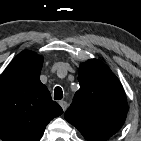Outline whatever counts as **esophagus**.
Masks as SVG:
<instances>
[{
	"mask_svg": "<svg viewBox=\"0 0 141 141\" xmlns=\"http://www.w3.org/2000/svg\"><path fill=\"white\" fill-rule=\"evenodd\" d=\"M59 104L62 107L63 111L65 112L67 107H68L67 102L62 100V101L59 102Z\"/></svg>",
	"mask_w": 141,
	"mask_h": 141,
	"instance_id": "esophagus-1",
	"label": "esophagus"
}]
</instances>
